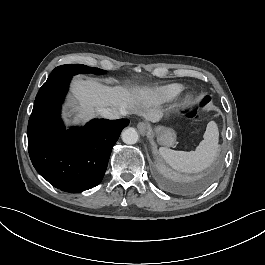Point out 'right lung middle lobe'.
<instances>
[{"label": "right lung middle lobe", "mask_w": 265, "mask_h": 265, "mask_svg": "<svg viewBox=\"0 0 265 265\" xmlns=\"http://www.w3.org/2000/svg\"><path fill=\"white\" fill-rule=\"evenodd\" d=\"M81 73H93V74L100 75V74L105 73V71L98 69V68L81 65V64H67V65H62V66L55 68L50 74L47 81L57 79L60 77L73 76V75L81 74Z\"/></svg>", "instance_id": "dd1d6c3e"}]
</instances>
